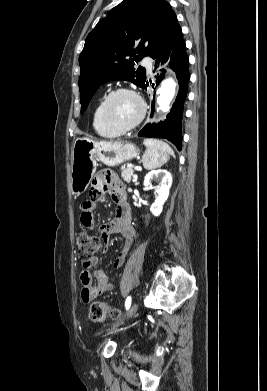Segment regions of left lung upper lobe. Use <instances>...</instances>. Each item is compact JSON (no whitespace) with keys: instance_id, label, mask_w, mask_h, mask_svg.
I'll return each instance as SVG.
<instances>
[{"instance_id":"5c2ea615","label":"left lung upper lobe","mask_w":267,"mask_h":391,"mask_svg":"<svg viewBox=\"0 0 267 391\" xmlns=\"http://www.w3.org/2000/svg\"><path fill=\"white\" fill-rule=\"evenodd\" d=\"M178 25L165 0H124L114 7L88 34L79 56L81 113L105 82L126 80L143 87L145 69L134 66Z\"/></svg>"}]
</instances>
